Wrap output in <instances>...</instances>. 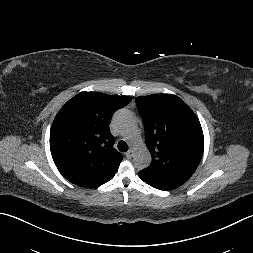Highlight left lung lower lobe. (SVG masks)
Segmentation results:
<instances>
[{"label":"left lung lower lobe","instance_id":"1","mask_svg":"<svg viewBox=\"0 0 253 253\" xmlns=\"http://www.w3.org/2000/svg\"><path fill=\"white\" fill-rule=\"evenodd\" d=\"M139 177L142 181H144L148 185H150L154 188H157L159 190L168 191V190H172V189H175V188L181 186L180 184H177V183L160 181V180H153V179L142 176L140 173H139Z\"/></svg>","mask_w":253,"mask_h":253}]
</instances>
